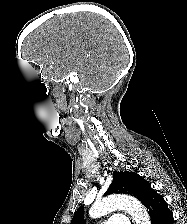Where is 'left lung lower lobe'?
I'll list each match as a JSON object with an SVG mask.
<instances>
[{
	"mask_svg": "<svg viewBox=\"0 0 187 224\" xmlns=\"http://www.w3.org/2000/svg\"><path fill=\"white\" fill-rule=\"evenodd\" d=\"M151 224H173V214L167 206L163 196L156 191L145 203Z\"/></svg>",
	"mask_w": 187,
	"mask_h": 224,
	"instance_id": "0a47b994",
	"label": "left lung lower lobe"
}]
</instances>
